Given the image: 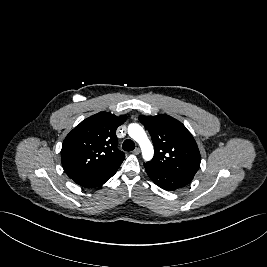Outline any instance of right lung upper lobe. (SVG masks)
<instances>
[{"label":"right lung upper lobe","mask_w":267,"mask_h":267,"mask_svg":"<svg viewBox=\"0 0 267 267\" xmlns=\"http://www.w3.org/2000/svg\"><path fill=\"white\" fill-rule=\"evenodd\" d=\"M126 119V115L100 112L70 131L61 149V162L66 174L74 179L93 170L122 163L125 154L117 149L116 130Z\"/></svg>","instance_id":"right-lung-upper-lobe-1"}]
</instances>
